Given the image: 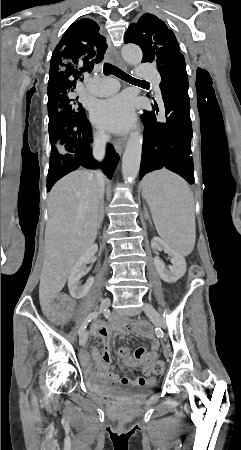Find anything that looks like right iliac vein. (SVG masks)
Returning <instances> with one entry per match:
<instances>
[{"mask_svg": "<svg viewBox=\"0 0 241 450\" xmlns=\"http://www.w3.org/2000/svg\"><path fill=\"white\" fill-rule=\"evenodd\" d=\"M110 303H111V300L109 298L103 299L100 304V309H99L100 312L106 310L109 307ZM87 339H88V332H85L80 336V339H79L80 345H82V346L85 345V343L87 342Z\"/></svg>", "mask_w": 241, "mask_h": 450, "instance_id": "right-iliac-vein-1", "label": "right iliac vein"}]
</instances>
